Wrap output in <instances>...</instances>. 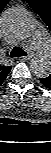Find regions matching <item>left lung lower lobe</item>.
Instances as JSON below:
<instances>
[{
    "instance_id": "left-lung-lower-lobe-1",
    "label": "left lung lower lobe",
    "mask_w": 51,
    "mask_h": 153,
    "mask_svg": "<svg viewBox=\"0 0 51 153\" xmlns=\"http://www.w3.org/2000/svg\"><path fill=\"white\" fill-rule=\"evenodd\" d=\"M39 80L45 87L51 88V75L46 78H40Z\"/></svg>"
}]
</instances>
